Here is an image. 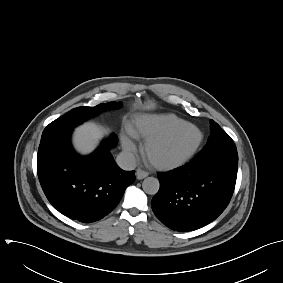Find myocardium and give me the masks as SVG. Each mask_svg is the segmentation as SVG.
<instances>
[{"instance_id": "obj_1", "label": "myocardium", "mask_w": 283, "mask_h": 283, "mask_svg": "<svg viewBox=\"0 0 283 283\" xmlns=\"http://www.w3.org/2000/svg\"><path fill=\"white\" fill-rule=\"evenodd\" d=\"M184 126L192 127L198 133V139H197L196 143L184 156H182L181 158H179L175 161H172V162H157V161L152 160L149 157V151L152 147L163 143L174 132H176L179 128L184 127ZM203 140H204V134H203L202 130L197 125H195L191 122H188V121H183V122H180V123L170 127L169 129H167L163 133H161V134H159V135H157L153 138H149V139L145 140L144 143L142 144L141 152H142V155H143L144 159L146 160V162L150 166H152L153 168H155L157 170H161V171H171V170H175V169H178V168L186 165L190 160H192V158L197 154L198 150L200 149V147L203 143Z\"/></svg>"}]
</instances>
